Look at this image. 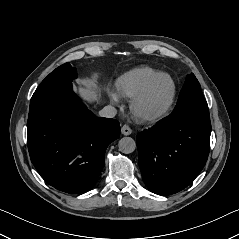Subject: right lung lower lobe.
<instances>
[{"mask_svg":"<svg viewBox=\"0 0 239 239\" xmlns=\"http://www.w3.org/2000/svg\"><path fill=\"white\" fill-rule=\"evenodd\" d=\"M27 131L30 158L41 177L70 194L93 187L106 148L120 136L119 122L96 117L76 100L71 83L30 102Z\"/></svg>","mask_w":239,"mask_h":239,"instance_id":"right-lung-lower-lobe-1","label":"right lung lower lobe"}]
</instances>
